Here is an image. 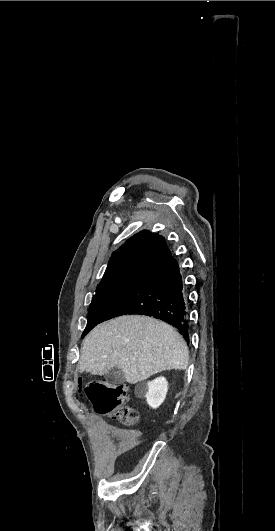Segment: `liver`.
I'll return each mask as SVG.
<instances>
[{
	"mask_svg": "<svg viewBox=\"0 0 275 531\" xmlns=\"http://www.w3.org/2000/svg\"><path fill=\"white\" fill-rule=\"evenodd\" d=\"M81 353L79 373L102 377L119 367L131 385L161 371H184L189 361L188 347L173 327L139 315L97 325L87 335Z\"/></svg>",
	"mask_w": 275,
	"mask_h": 531,
	"instance_id": "liver-1",
	"label": "liver"
}]
</instances>
